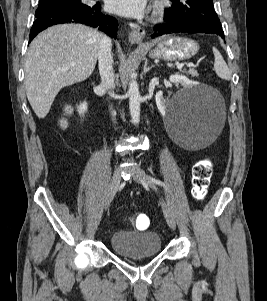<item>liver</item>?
Returning a JSON list of instances; mask_svg holds the SVG:
<instances>
[{
    "instance_id": "liver-1",
    "label": "liver",
    "mask_w": 267,
    "mask_h": 301,
    "mask_svg": "<svg viewBox=\"0 0 267 301\" xmlns=\"http://www.w3.org/2000/svg\"><path fill=\"white\" fill-rule=\"evenodd\" d=\"M102 35L80 24L49 27L31 43L25 62V90L38 118H45L58 92L93 72Z\"/></svg>"
}]
</instances>
